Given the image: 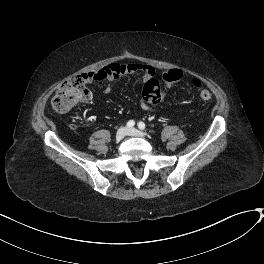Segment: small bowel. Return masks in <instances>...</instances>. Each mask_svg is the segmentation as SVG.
I'll use <instances>...</instances> for the list:
<instances>
[{"instance_id":"c3829d8e","label":"small bowel","mask_w":264,"mask_h":264,"mask_svg":"<svg viewBox=\"0 0 264 264\" xmlns=\"http://www.w3.org/2000/svg\"><path fill=\"white\" fill-rule=\"evenodd\" d=\"M132 74H140L142 82H146L148 79L155 77L154 69L150 65L142 63H112L99 70L84 73L81 77L87 83L105 81L111 84L117 81L121 76ZM107 92L110 93L109 87L107 88ZM139 103L143 110L154 111L152 106L154 101L147 99L144 94L140 96Z\"/></svg>"}]
</instances>
